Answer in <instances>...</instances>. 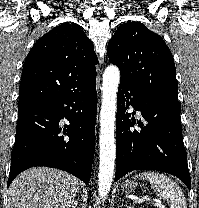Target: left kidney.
I'll use <instances>...</instances> for the list:
<instances>
[{"label":"left kidney","instance_id":"obj_1","mask_svg":"<svg viewBox=\"0 0 199 208\" xmlns=\"http://www.w3.org/2000/svg\"><path fill=\"white\" fill-rule=\"evenodd\" d=\"M127 208H134V207H132V206H129V207H127Z\"/></svg>","mask_w":199,"mask_h":208}]
</instances>
